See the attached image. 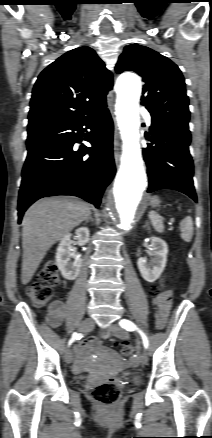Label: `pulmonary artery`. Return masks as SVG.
I'll list each match as a JSON object with an SVG mask.
<instances>
[{"instance_id":"pulmonary-artery-1","label":"pulmonary artery","mask_w":212,"mask_h":438,"mask_svg":"<svg viewBox=\"0 0 212 438\" xmlns=\"http://www.w3.org/2000/svg\"><path fill=\"white\" fill-rule=\"evenodd\" d=\"M142 114L144 115L146 122L148 124H150V122H151V115H150V113L147 110L143 109L142 110Z\"/></svg>"}]
</instances>
